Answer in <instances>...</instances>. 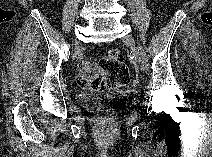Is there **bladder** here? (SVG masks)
Masks as SVG:
<instances>
[{
	"mask_svg": "<svg viewBox=\"0 0 212 157\" xmlns=\"http://www.w3.org/2000/svg\"><path fill=\"white\" fill-rule=\"evenodd\" d=\"M133 95V92L128 89H123L119 91H108V92H85L80 93L77 96L78 103L89 109L95 110L101 102L111 101V100H122Z\"/></svg>",
	"mask_w": 212,
	"mask_h": 157,
	"instance_id": "obj_1",
	"label": "bladder"
}]
</instances>
